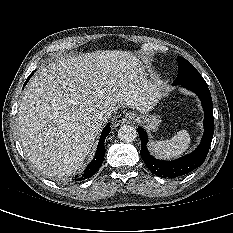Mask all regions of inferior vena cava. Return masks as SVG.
<instances>
[{
    "instance_id": "602c4592",
    "label": "inferior vena cava",
    "mask_w": 233,
    "mask_h": 233,
    "mask_svg": "<svg viewBox=\"0 0 233 233\" xmlns=\"http://www.w3.org/2000/svg\"><path fill=\"white\" fill-rule=\"evenodd\" d=\"M96 120L100 123L105 122L109 118L108 113H99L95 116Z\"/></svg>"
}]
</instances>
